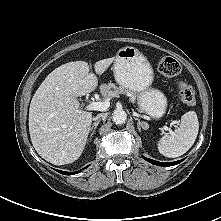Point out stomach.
<instances>
[{
    "instance_id": "1",
    "label": "stomach",
    "mask_w": 221,
    "mask_h": 221,
    "mask_svg": "<svg viewBox=\"0 0 221 221\" xmlns=\"http://www.w3.org/2000/svg\"><path fill=\"white\" fill-rule=\"evenodd\" d=\"M116 82L134 93L140 110L154 119H160L166 112L167 98L159 90L152 88L153 69L147 58L135 47L121 48L113 67Z\"/></svg>"
}]
</instances>
